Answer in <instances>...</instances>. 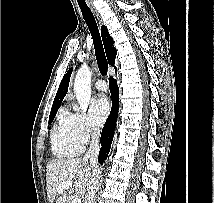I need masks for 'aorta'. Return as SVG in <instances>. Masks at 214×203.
I'll return each instance as SVG.
<instances>
[{
	"label": "aorta",
	"instance_id": "762f6f07",
	"mask_svg": "<svg viewBox=\"0 0 214 203\" xmlns=\"http://www.w3.org/2000/svg\"><path fill=\"white\" fill-rule=\"evenodd\" d=\"M92 72L86 65L78 70L74 81V92L79 102V110L85 112L91 99Z\"/></svg>",
	"mask_w": 214,
	"mask_h": 203
}]
</instances>
